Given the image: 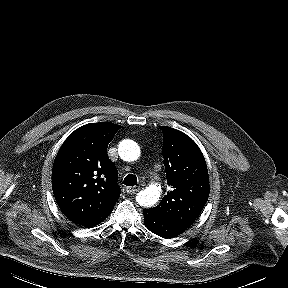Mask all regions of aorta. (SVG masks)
Segmentation results:
<instances>
[{
  "label": "aorta",
  "mask_w": 288,
  "mask_h": 288,
  "mask_svg": "<svg viewBox=\"0 0 288 288\" xmlns=\"http://www.w3.org/2000/svg\"><path fill=\"white\" fill-rule=\"evenodd\" d=\"M119 156L124 161H135L140 157V147L133 140H123L118 148ZM161 195V187L151 184L146 189L137 193L136 201L143 207H151L156 204Z\"/></svg>",
  "instance_id": "1"
}]
</instances>
